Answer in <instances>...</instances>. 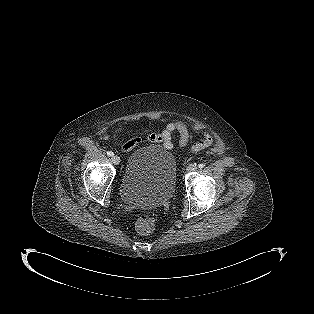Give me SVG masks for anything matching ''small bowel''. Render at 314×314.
<instances>
[{
	"label": "small bowel",
	"mask_w": 314,
	"mask_h": 314,
	"mask_svg": "<svg viewBox=\"0 0 314 314\" xmlns=\"http://www.w3.org/2000/svg\"><path fill=\"white\" fill-rule=\"evenodd\" d=\"M177 132L179 135V143L182 148L189 145L193 131L182 121L175 120L165 125L162 131L148 132L143 137H133L122 145L123 152H129L142 141L150 143H161L164 149L170 150L173 147L172 135ZM214 138L211 132L205 131L204 138L198 141L192 148L194 152L205 149L213 144Z\"/></svg>",
	"instance_id": "1"
}]
</instances>
